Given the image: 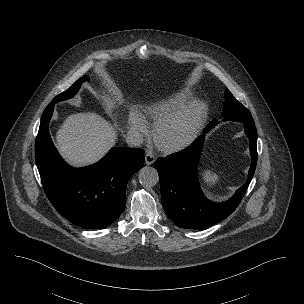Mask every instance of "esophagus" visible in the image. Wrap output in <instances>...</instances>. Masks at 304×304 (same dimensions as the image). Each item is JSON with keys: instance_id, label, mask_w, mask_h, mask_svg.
<instances>
[{"instance_id": "34e87169", "label": "esophagus", "mask_w": 304, "mask_h": 304, "mask_svg": "<svg viewBox=\"0 0 304 304\" xmlns=\"http://www.w3.org/2000/svg\"><path fill=\"white\" fill-rule=\"evenodd\" d=\"M155 162V156L152 152H147L146 155H145V163L147 165H151Z\"/></svg>"}]
</instances>
